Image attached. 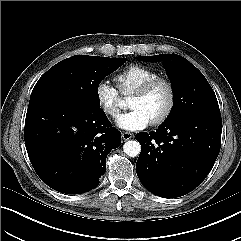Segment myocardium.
Segmentation results:
<instances>
[{
  "mask_svg": "<svg viewBox=\"0 0 241 241\" xmlns=\"http://www.w3.org/2000/svg\"><path fill=\"white\" fill-rule=\"evenodd\" d=\"M163 85L168 91V103L164 111L156 118L150 121L151 125H160L164 123L172 114L175 104H176V89L171 80L164 77H156L148 82L144 83L142 86L134 91V95L139 97H144L148 95L155 87Z\"/></svg>",
  "mask_w": 241,
  "mask_h": 241,
  "instance_id": "1",
  "label": "myocardium"
}]
</instances>
